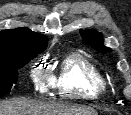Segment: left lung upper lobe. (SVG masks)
<instances>
[{"label":"left lung upper lobe","instance_id":"left-lung-upper-lobe-1","mask_svg":"<svg viewBox=\"0 0 131 115\" xmlns=\"http://www.w3.org/2000/svg\"><path fill=\"white\" fill-rule=\"evenodd\" d=\"M82 38L93 48L99 52L111 51L110 48H107L103 45L102 34L95 30H80Z\"/></svg>","mask_w":131,"mask_h":115}]
</instances>
